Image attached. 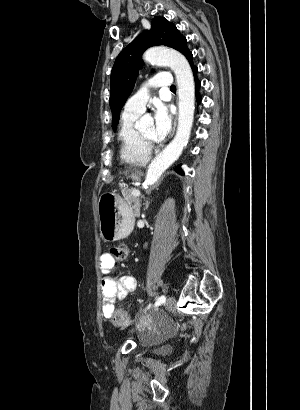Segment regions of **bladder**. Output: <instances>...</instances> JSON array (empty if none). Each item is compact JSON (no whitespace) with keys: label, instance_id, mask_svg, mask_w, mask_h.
Segmentation results:
<instances>
[{"label":"bladder","instance_id":"31cf9c89","mask_svg":"<svg viewBox=\"0 0 300 410\" xmlns=\"http://www.w3.org/2000/svg\"><path fill=\"white\" fill-rule=\"evenodd\" d=\"M159 346H160V345H153V347H156V348L159 347Z\"/></svg>","mask_w":300,"mask_h":410}]
</instances>
